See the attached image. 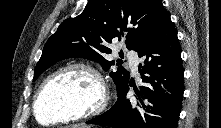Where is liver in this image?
Masks as SVG:
<instances>
[{
  "label": "liver",
  "mask_w": 221,
  "mask_h": 128,
  "mask_svg": "<svg viewBox=\"0 0 221 128\" xmlns=\"http://www.w3.org/2000/svg\"><path fill=\"white\" fill-rule=\"evenodd\" d=\"M69 128H90V126L84 125V124H76L69 126Z\"/></svg>",
  "instance_id": "1"
}]
</instances>
